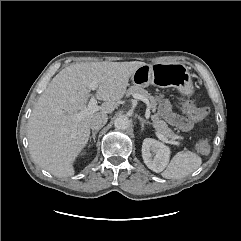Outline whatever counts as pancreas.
<instances>
[{
    "instance_id": "1",
    "label": "pancreas",
    "mask_w": 241,
    "mask_h": 241,
    "mask_svg": "<svg viewBox=\"0 0 241 241\" xmlns=\"http://www.w3.org/2000/svg\"><path fill=\"white\" fill-rule=\"evenodd\" d=\"M127 94L132 96H134L135 94H139L146 97L150 101V108L152 112L156 111V106H157L156 98L152 96L147 90L143 89L142 87L136 86V85L131 86L127 90ZM151 120L155 130L165 138H169L172 140L180 138V136L174 134V132L168 127L166 122L160 118L159 114L155 113L154 115H152Z\"/></svg>"
}]
</instances>
